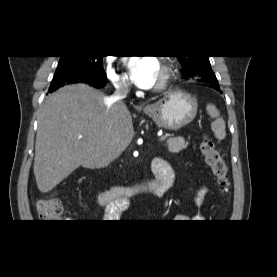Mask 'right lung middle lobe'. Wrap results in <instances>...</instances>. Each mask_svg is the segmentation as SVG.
Returning a JSON list of instances; mask_svg holds the SVG:
<instances>
[{"label":"right lung middle lobe","mask_w":277,"mask_h":277,"mask_svg":"<svg viewBox=\"0 0 277 277\" xmlns=\"http://www.w3.org/2000/svg\"><path fill=\"white\" fill-rule=\"evenodd\" d=\"M103 56H60L49 91H54L67 82L85 79L104 83L106 74L102 66Z\"/></svg>","instance_id":"dd1d6c3e"}]
</instances>
